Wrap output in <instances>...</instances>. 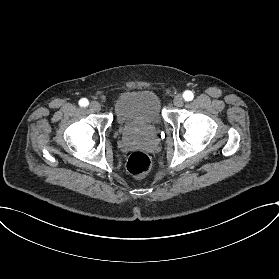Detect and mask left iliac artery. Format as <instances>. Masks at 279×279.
I'll return each mask as SVG.
<instances>
[{"label": "left iliac artery", "instance_id": "1", "mask_svg": "<svg viewBox=\"0 0 279 279\" xmlns=\"http://www.w3.org/2000/svg\"><path fill=\"white\" fill-rule=\"evenodd\" d=\"M193 97H194V94H193V92L192 91H185L184 93H183V98L186 100V101H191L192 99H193Z\"/></svg>", "mask_w": 279, "mask_h": 279}]
</instances>
